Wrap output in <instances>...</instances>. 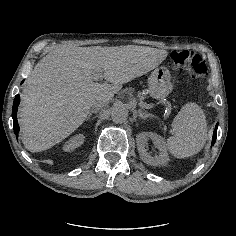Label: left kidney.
<instances>
[{"label":"left kidney","instance_id":"obj_1","mask_svg":"<svg viewBox=\"0 0 236 236\" xmlns=\"http://www.w3.org/2000/svg\"><path fill=\"white\" fill-rule=\"evenodd\" d=\"M149 138L155 145V148L159 150V154L152 156L148 154L146 148V139ZM136 144L138 148V152L142 158V160L148 165H162L167 163L168 155L167 148L165 146L164 141L157 134H153L150 132L139 133L136 136Z\"/></svg>","mask_w":236,"mask_h":236}]
</instances>
